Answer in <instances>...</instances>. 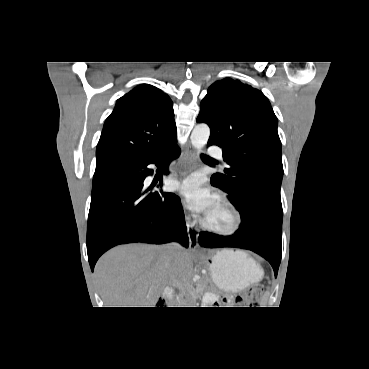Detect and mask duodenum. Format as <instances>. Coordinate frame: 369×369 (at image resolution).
I'll return each instance as SVG.
<instances>
[{
  "label": "duodenum",
  "instance_id": "410a0bca",
  "mask_svg": "<svg viewBox=\"0 0 369 369\" xmlns=\"http://www.w3.org/2000/svg\"><path fill=\"white\" fill-rule=\"evenodd\" d=\"M174 291L172 288H166L163 292V299L166 302H170L173 299Z\"/></svg>",
  "mask_w": 369,
  "mask_h": 369
}]
</instances>
